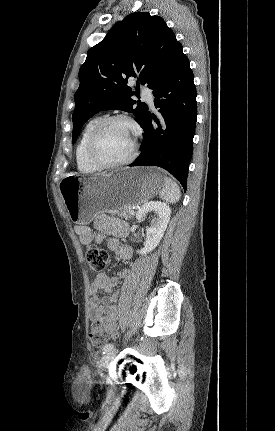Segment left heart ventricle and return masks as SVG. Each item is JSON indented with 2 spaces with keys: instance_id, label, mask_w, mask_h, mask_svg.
I'll list each match as a JSON object with an SVG mask.
<instances>
[{
  "instance_id": "obj_1",
  "label": "left heart ventricle",
  "mask_w": 275,
  "mask_h": 431,
  "mask_svg": "<svg viewBox=\"0 0 275 431\" xmlns=\"http://www.w3.org/2000/svg\"><path fill=\"white\" fill-rule=\"evenodd\" d=\"M133 140V131L129 125L123 122L112 123L101 135L96 154L103 161L120 162L130 155Z\"/></svg>"
}]
</instances>
